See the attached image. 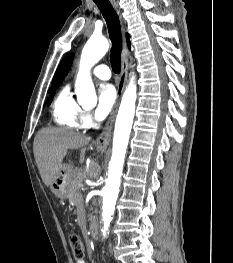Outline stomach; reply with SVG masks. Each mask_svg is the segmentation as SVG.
<instances>
[{
    "instance_id": "obj_1",
    "label": "stomach",
    "mask_w": 233,
    "mask_h": 263,
    "mask_svg": "<svg viewBox=\"0 0 233 263\" xmlns=\"http://www.w3.org/2000/svg\"><path fill=\"white\" fill-rule=\"evenodd\" d=\"M104 148L99 147L98 151H103ZM72 172V168L69 165H63L54 181L51 184L52 193L61 199L68 197L70 191L69 177Z\"/></svg>"
}]
</instances>
